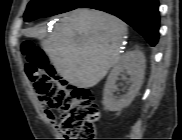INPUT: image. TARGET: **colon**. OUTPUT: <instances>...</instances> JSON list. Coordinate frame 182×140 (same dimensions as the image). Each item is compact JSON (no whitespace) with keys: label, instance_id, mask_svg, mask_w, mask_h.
Returning <instances> with one entry per match:
<instances>
[{"label":"colon","instance_id":"colon-1","mask_svg":"<svg viewBox=\"0 0 182 140\" xmlns=\"http://www.w3.org/2000/svg\"><path fill=\"white\" fill-rule=\"evenodd\" d=\"M25 72L41 102L60 114V130L74 140H94L95 123L101 115L93 92L67 84L49 64L44 51L26 41L22 44Z\"/></svg>","mask_w":182,"mask_h":140}]
</instances>
